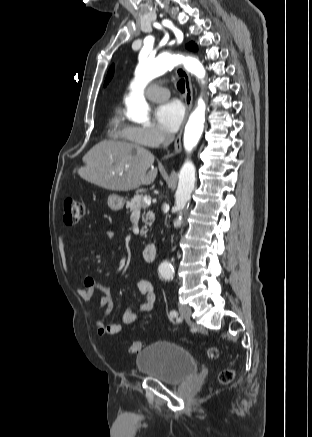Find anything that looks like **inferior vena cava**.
<instances>
[{"label": "inferior vena cava", "mask_w": 312, "mask_h": 437, "mask_svg": "<svg viewBox=\"0 0 312 437\" xmlns=\"http://www.w3.org/2000/svg\"><path fill=\"white\" fill-rule=\"evenodd\" d=\"M172 139H173L172 135H170V134H166L165 135V140H164V143H163L165 148L170 144Z\"/></svg>", "instance_id": "obj_1"}]
</instances>
